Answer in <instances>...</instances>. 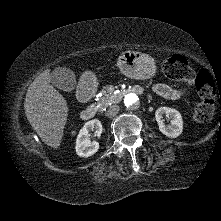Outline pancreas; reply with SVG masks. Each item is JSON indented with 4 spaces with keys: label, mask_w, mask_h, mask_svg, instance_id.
Instances as JSON below:
<instances>
[{
    "label": "pancreas",
    "mask_w": 221,
    "mask_h": 221,
    "mask_svg": "<svg viewBox=\"0 0 221 221\" xmlns=\"http://www.w3.org/2000/svg\"><path fill=\"white\" fill-rule=\"evenodd\" d=\"M101 92L103 95L97 102L101 110L117 101V98L112 95V91L109 86H106Z\"/></svg>",
    "instance_id": "cf45deb5"
}]
</instances>
